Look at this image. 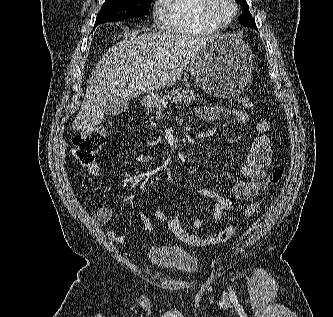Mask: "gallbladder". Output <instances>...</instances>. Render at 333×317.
Masks as SVG:
<instances>
[{
  "label": "gallbladder",
  "mask_w": 333,
  "mask_h": 317,
  "mask_svg": "<svg viewBox=\"0 0 333 317\" xmlns=\"http://www.w3.org/2000/svg\"><path fill=\"white\" fill-rule=\"evenodd\" d=\"M130 104V99L122 96H113L105 103V112L109 115H118L125 112Z\"/></svg>",
  "instance_id": "bac80fb5"
}]
</instances>
